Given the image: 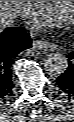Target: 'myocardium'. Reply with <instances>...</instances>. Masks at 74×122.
Wrapping results in <instances>:
<instances>
[{
    "label": "myocardium",
    "mask_w": 74,
    "mask_h": 122,
    "mask_svg": "<svg viewBox=\"0 0 74 122\" xmlns=\"http://www.w3.org/2000/svg\"><path fill=\"white\" fill-rule=\"evenodd\" d=\"M47 5H51L52 1H45ZM67 20L74 21V2H73V9L71 13L67 16Z\"/></svg>",
    "instance_id": "1"
}]
</instances>
